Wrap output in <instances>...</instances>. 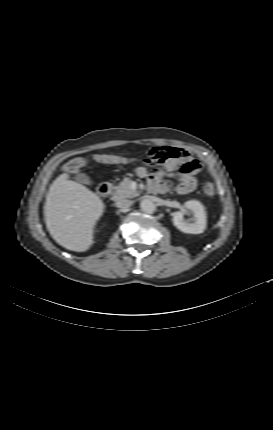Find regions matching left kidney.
Returning <instances> with one entry per match:
<instances>
[{
    "label": "left kidney",
    "instance_id": "obj_1",
    "mask_svg": "<svg viewBox=\"0 0 273 430\" xmlns=\"http://www.w3.org/2000/svg\"><path fill=\"white\" fill-rule=\"evenodd\" d=\"M184 210L173 215V224L180 231L189 234L203 233L207 226L205 207L197 200H190L184 204ZM185 210L192 213L191 218H184Z\"/></svg>",
    "mask_w": 273,
    "mask_h": 430
}]
</instances>
